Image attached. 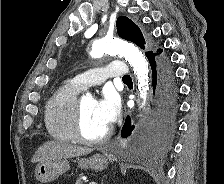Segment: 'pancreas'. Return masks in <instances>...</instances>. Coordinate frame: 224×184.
Here are the masks:
<instances>
[{"label":"pancreas","instance_id":"1","mask_svg":"<svg viewBox=\"0 0 224 184\" xmlns=\"http://www.w3.org/2000/svg\"><path fill=\"white\" fill-rule=\"evenodd\" d=\"M75 184H83L82 179L79 177V178L76 180V183H75Z\"/></svg>","mask_w":224,"mask_h":184}]
</instances>
